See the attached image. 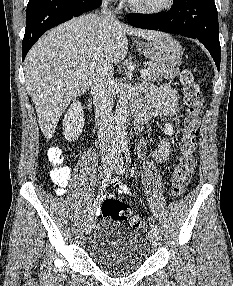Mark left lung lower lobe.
<instances>
[{
	"instance_id": "obj_1",
	"label": "left lung lower lobe",
	"mask_w": 233,
	"mask_h": 286,
	"mask_svg": "<svg viewBox=\"0 0 233 286\" xmlns=\"http://www.w3.org/2000/svg\"><path fill=\"white\" fill-rule=\"evenodd\" d=\"M128 21L141 28L159 29L199 40L220 69L218 15L214 0H173L167 13L128 14Z\"/></svg>"
}]
</instances>
